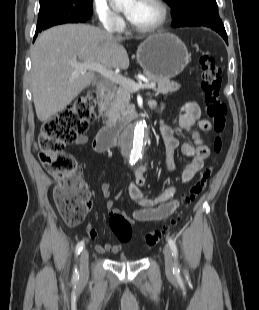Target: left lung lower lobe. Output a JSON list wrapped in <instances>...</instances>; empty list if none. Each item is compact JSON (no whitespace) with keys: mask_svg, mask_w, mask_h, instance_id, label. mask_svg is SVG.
Masks as SVG:
<instances>
[{"mask_svg":"<svg viewBox=\"0 0 259 310\" xmlns=\"http://www.w3.org/2000/svg\"><path fill=\"white\" fill-rule=\"evenodd\" d=\"M193 26H204V27L211 28L215 30L216 32H218L223 37L225 42L228 43V38H227V34H226L224 26L217 27V26H210V25H204V24H199V23H190V24H185V25H181L178 27H193Z\"/></svg>","mask_w":259,"mask_h":310,"instance_id":"0a47b994","label":"left lung lower lobe"}]
</instances>
